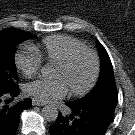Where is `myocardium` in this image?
<instances>
[{
    "instance_id": "1",
    "label": "myocardium",
    "mask_w": 135,
    "mask_h": 135,
    "mask_svg": "<svg viewBox=\"0 0 135 135\" xmlns=\"http://www.w3.org/2000/svg\"><path fill=\"white\" fill-rule=\"evenodd\" d=\"M83 55H87L92 59V63H93V71H92V75L90 77V80L88 81V83L86 84V86H84L82 89L80 90H71L70 89V93L73 96H85L87 95L95 86L99 74H100V61L99 58L97 56V54L92 51L91 49H80V50H75L72 53H70L64 60H62L61 62L57 63L56 66H58L59 68L66 70L69 67H71L73 65V63L81 56Z\"/></svg>"
}]
</instances>
